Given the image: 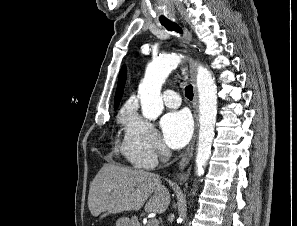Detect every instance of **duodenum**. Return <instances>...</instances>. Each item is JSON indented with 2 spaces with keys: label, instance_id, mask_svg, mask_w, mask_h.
Segmentation results:
<instances>
[{
  "label": "duodenum",
  "instance_id": "duodenum-1",
  "mask_svg": "<svg viewBox=\"0 0 297 226\" xmlns=\"http://www.w3.org/2000/svg\"><path fill=\"white\" fill-rule=\"evenodd\" d=\"M132 224H133V226H136V222H135V221H133V220H132Z\"/></svg>",
  "mask_w": 297,
  "mask_h": 226
}]
</instances>
